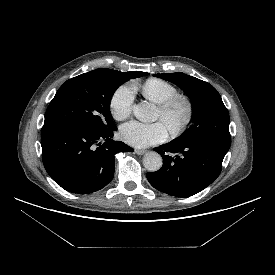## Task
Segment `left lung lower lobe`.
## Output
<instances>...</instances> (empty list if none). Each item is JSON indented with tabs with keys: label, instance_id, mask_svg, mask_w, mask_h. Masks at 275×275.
<instances>
[{
	"label": "left lung lower lobe",
	"instance_id": "0a47b994",
	"mask_svg": "<svg viewBox=\"0 0 275 275\" xmlns=\"http://www.w3.org/2000/svg\"><path fill=\"white\" fill-rule=\"evenodd\" d=\"M154 150L162 156L163 166L156 172L147 173L150 184L166 194L189 197L219 176L229 148L201 142L171 141Z\"/></svg>",
	"mask_w": 275,
	"mask_h": 275
}]
</instances>
